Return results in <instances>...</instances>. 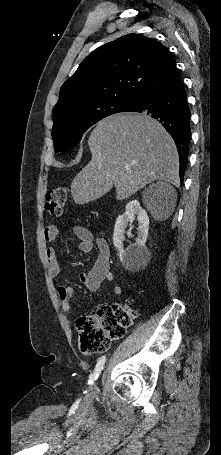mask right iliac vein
Wrapping results in <instances>:
<instances>
[{"mask_svg":"<svg viewBox=\"0 0 221 455\" xmlns=\"http://www.w3.org/2000/svg\"><path fill=\"white\" fill-rule=\"evenodd\" d=\"M93 389H94V386H92V387L90 388L88 396H91V394H92V392H93Z\"/></svg>","mask_w":221,"mask_h":455,"instance_id":"obj_1","label":"right iliac vein"}]
</instances>
